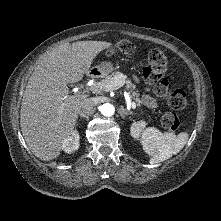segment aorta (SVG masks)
<instances>
[{"label": "aorta", "instance_id": "aorta-1", "mask_svg": "<svg viewBox=\"0 0 221 221\" xmlns=\"http://www.w3.org/2000/svg\"><path fill=\"white\" fill-rule=\"evenodd\" d=\"M114 112H115V108L112 104L105 103L101 106V113L106 117L112 116Z\"/></svg>", "mask_w": 221, "mask_h": 221}]
</instances>
